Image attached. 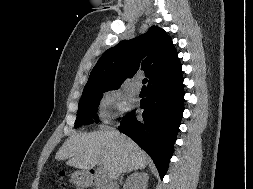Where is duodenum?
Instances as JSON below:
<instances>
[{
    "instance_id": "1",
    "label": "duodenum",
    "mask_w": 253,
    "mask_h": 189,
    "mask_svg": "<svg viewBox=\"0 0 253 189\" xmlns=\"http://www.w3.org/2000/svg\"><path fill=\"white\" fill-rule=\"evenodd\" d=\"M78 181L81 186H96L99 189H112L107 176L97 169H89L79 174Z\"/></svg>"
}]
</instances>
